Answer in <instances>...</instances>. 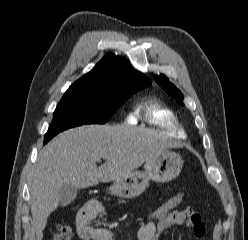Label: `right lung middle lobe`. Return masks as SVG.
Returning <instances> with one entry per match:
<instances>
[{
    "mask_svg": "<svg viewBox=\"0 0 248 240\" xmlns=\"http://www.w3.org/2000/svg\"><path fill=\"white\" fill-rule=\"evenodd\" d=\"M149 84L130 80L111 88L67 90L54 111L44 144L63 130L83 124L105 123L120 104Z\"/></svg>",
    "mask_w": 248,
    "mask_h": 240,
    "instance_id": "obj_1",
    "label": "right lung middle lobe"
}]
</instances>
